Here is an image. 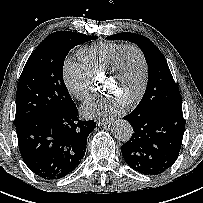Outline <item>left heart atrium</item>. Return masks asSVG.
Instances as JSON below:
<instances>
[{
  "label": "left heart atrium",
  "instance_id": "left-heart-atrium-1",
  "mask_svg": "<svg viewBox=\"0 0 203 203\" xmlns=\"http://www.w3.org/2000/svg\"><path fill=\"white\" fill-rule=\"evenodd\" d=\"M124 102L114 96L90 98L82 107V114L86 117L110 118L121 111Z\"/></svg>",
  "mask_w": 203,
  "mask_h": 203
}]
</instances>
